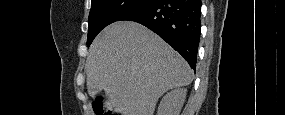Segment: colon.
I'll use <instances>...</instances> for the list:
<instances>
[{"mask_svg":"<svg viewBox=\"0 0 285 115\" xmlns=\"http://www.w3.org/2000/svg\"><path fill=\"white\" fill-rule=\"evenodd\" d=\"M94 110L98 115L110 114L109 111H106L100 101L94 103Z\"/></svg>","mask_w":285,"mask_h":115,"instance_id":"1","label":"colon"}]
</instances>
